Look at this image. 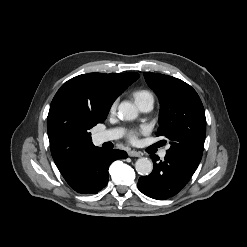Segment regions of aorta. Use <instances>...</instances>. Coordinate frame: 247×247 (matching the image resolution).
<instances>
[{
	"label": "aorta",
	"instance_id": "1",
	"mask_svg": "<svg viewBox=\"0 0 247 247\" xmlns=\"http://www.w3.org/2000/svg\"><path fill=\"white\" fill-rule=\"evenodd\" d=\"M118 114L125 120H134L138 116L137 108L128 101H123L118 106ZM135 169L142 176L149 175L153 170V163L150 159L142 157L135 163Z\"/></svg>",
	"mask_w": 247,
	"mask_h": 247
}]
</instances>
